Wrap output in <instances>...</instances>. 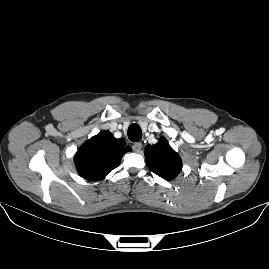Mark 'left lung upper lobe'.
Wrapping results in <instances>:
<instances>
[{
  "instance_id": "left-lung-upper-lobe-1",
  "label": "left lung upper lobe",
  "mask_w": 269,
  "mask_h": 269,
  "mask_svg": "<svg viewBox=\"0 0 269 269\" xmlns=\"http://www.w3.org/2000/svg\"><path fill=\"white\" fill-rule=\"evenodd\" d=\"M144 154L150 170L166 180L174 179L182 169L181 158L164 138L146 146Z\"/></svg>"
}]
</instances>
